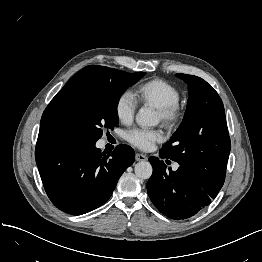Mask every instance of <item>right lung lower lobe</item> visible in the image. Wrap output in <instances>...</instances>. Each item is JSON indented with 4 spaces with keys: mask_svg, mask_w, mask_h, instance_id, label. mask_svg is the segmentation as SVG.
Here are the masks:
<instances>
[{
    "mask_svg": "<svg viewBox=\"0 0 262 262\" xmlns=\"http://www.w3.org/2000/svg\"><path fill=\"white\" fill-rule=\"evenodd\" d=\"M95 143L59 132H39L35 158L45 191L68 214H85L103 205L134 162L130 146L121 144L106 155Z\"/></svg>",
    "mask_w": 262,
    "mask_h": 262,
    "instance_id": "98d812e1",
    "label": "right lung lower lobe"
}]
</instances>
